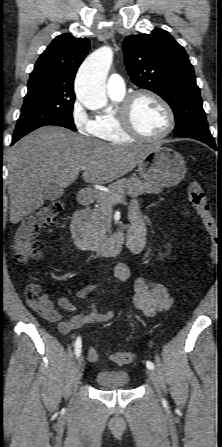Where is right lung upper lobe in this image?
Returning a JSON list of instances; mask_svg holds the SVG:
<instances>
[{
  "mask_svg": "<svg viewBox=\"0 0 222 447\" xmlns=\"http://www.w3.org/2000/svg\"><path fill=\"white\" fill-rule=\"evenodd\" d=\"M89 46L87 38H75L69 34L57 36L36 62L28 88L47 85L56 92L74 95V78Z\"/></svg>",
  "mask_w": 222,
  "mask_h": 447,
  "instance_id": "obj_1",
  "label": "right lung upper lobe"
}]
</instances>
